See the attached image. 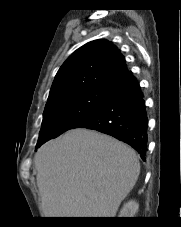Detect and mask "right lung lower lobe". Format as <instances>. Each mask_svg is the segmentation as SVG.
I'll return each mask as SVG.
<instances>
[{"label":"right lung lower lobe","instance_id":"98d812e1","mask_svg":"<svg viewBox=\"0 0 181 227\" xmlns=\"http://www.w3.org/2000/svg\"><path fill=\"white\" fill-rule=\"evenodd\" d=\"M111 135L132 146L145 160L148 118L139 83L132 73L117 81L104 104L74 128Z\"/></svg>","mask_w":181,"mask_h":227}]
</instances>
